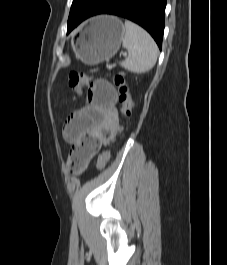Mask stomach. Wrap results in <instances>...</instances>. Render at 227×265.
Masks as SVG:
<instances>
[{
	"label": "stomach",
	"mask_w": 227,
	"mask_h": 265,
	"mask_svg": "<svg viewBox=\"0 0 227 265\" xmlns=\"http://www.w3.org/2000/svg\"><path fill=\"white\" fill-rule=\"evenodd\" d=\"M125 28L113 16L101 15L90 20L73 46L78 59L87 65H96L112 57L119 49Z\"/></svg>",
	"instance_id": "1"
}]
</instances>
